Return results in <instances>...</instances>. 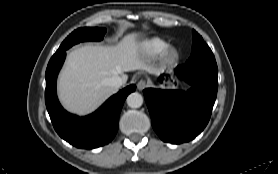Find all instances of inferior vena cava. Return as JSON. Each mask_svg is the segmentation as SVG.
Masks as SVG:
<instances>
[{"mask_svg": "<svg viewBox=\"0 0 278 174\" xmlns=\"http://www.w3.org/2000/svg\"><path fill=\"white\" fill-rule=\"evenodd\" d=\"M109 86L113 88H120L123 85V79L120 76H114L108 80Z\"/></svg>", "mask_w": 278, "mask_h": 174, "instance_id": "obj_1", "label": "inferior vena cava"}]
</instances>
